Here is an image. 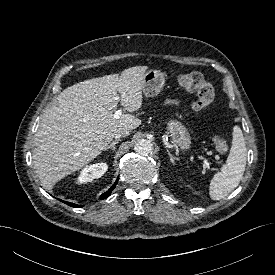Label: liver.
<instances>
[{"instance_id":"1","label":"liver","mask_w":275,"mask_h":275,"mask_svg":"<svg viewBox=\"0 0 275 275\" xmlns=\"http://www.w3.org/2000/svg\"><path fill=\"white\" fill-rule=\"evenodd\" d=\"M147 66L125 69L76 83L64 89L47 109L35 134L33 164L42 185L52 187L94 160L122 129L133 130L141 120L132 114L114 118L118 102L128 111L142 106ZM120 93V98L118 94Z\"/></svg>"}]
</instances>
